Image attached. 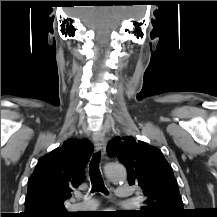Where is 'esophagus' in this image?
Returning a JSON list of instances; mask_svg holds the SVG:
<instances>
[{"mask_svg": "<svg viewBox=\"0 0 217 217\" xmlns=\"http://www.w3.org/2000/svg\"><path fill=\"white\" fill-rule=\"evenodd\" d=\"M93 142L96 150L99 151L101 155H104L106 149V142L105 135L102 131H98L93 134Z\"/></svg>", "mask_w": 217, "mask_h": 217, "instance_id": "esophagus-1", "label": "esophagus"}]
</instances>
